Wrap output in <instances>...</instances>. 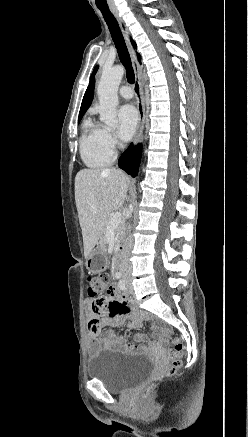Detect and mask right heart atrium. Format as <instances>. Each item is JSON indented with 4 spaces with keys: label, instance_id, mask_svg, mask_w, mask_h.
<instances>
[{
    "label": "right heart atrium",
    "instance_id": "1",
    "mask_svg": "<svg viewBox=\"0 0 248 437\" xmlns=\"http://www.w3.org/2000/svg\"><path fill=\"white\" fill-rule=\"evenodd\" d=\"M103 142L108 152L113 155L118 144L116 135L108 129H103Z\"/></svg>",
    "mask_w": 248,
    "mask_h": 437
}]
</instances>
